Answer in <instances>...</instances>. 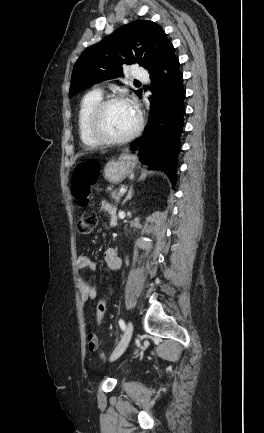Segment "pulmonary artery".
I'll list each match as a JSON object with an SVG mask.
<instances>
[{
  "label": "pulmonary artery",
  "mask_w": 264,
  "mask_h": 433,
  "mask_svg": "<svg viewBox=\"0 0 264 433\" xmlns=\"http://www.w3.org/2000/svg\"><path fill=\"white\" fill-rule=\"evenodd\" d=\"M133 77L137 80H145L148 78V73L143 68H134L133 69Z\"/></svg>",
  "instance_id": "pulmonary-artery-1"
}]
</instances>
